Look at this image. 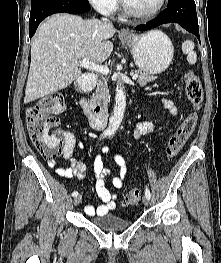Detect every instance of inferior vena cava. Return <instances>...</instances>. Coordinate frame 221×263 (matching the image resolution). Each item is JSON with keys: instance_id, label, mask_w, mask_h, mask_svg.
Returning a JSON list of instances; mask_svg holds the SVG:
<instances>
[{"instance_id": "602c4592", "label": "inferior vena cava", "mask_w": 221, "mask_h": 263, "mask_svg": "<svg viewBox=\"0 0 221 263\" xmlns=\"http://www.w3.org/2000/svg\"><path fill=\"white\" fill-rule=\"evenodd\" d=\"M103 21H105V22H106V21H108V20H107L106 18H103Z\"/></svg>"}]
</instances>
